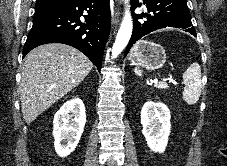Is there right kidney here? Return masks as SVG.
Wrapping results in <instances>:
<instances>
[{"instance_id":"right-kidney-1","label":"right kidney","mask_w":227,"mask_h":166,"mask_svg":"<svg viewBox=\"0 0 227 166\" xmlns=\"http://www.w3.org/2000/svg\"><path fill=\"white\" fill-rule=\"evenodd\" d=\"M86 123L84 103L79 98L66 101L53 120L54 147L60 157L74 151L80 141Z\"/></svg>"}]
</instances>
